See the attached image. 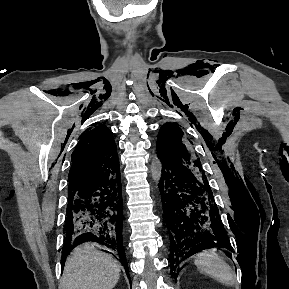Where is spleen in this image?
Segmentation results:
<instances>
[{
    "instance_id": "obj_1",
    "label": "spleen",
    "mask_w": 289,
    "mask_h": 289,
    "mask_svg": "<svg viewBox=\"0 0 289 289\" xmlns=\"http://www.w3.org/2000/svg\"><path fill=\"white\" fill-rule=\"evenodd\" d=\"M202 274H207L225 286H233L235 275L225 258L217 254L216 249L204 250L198 253L194 261Z\"/></svg>"
}]
</instances>
